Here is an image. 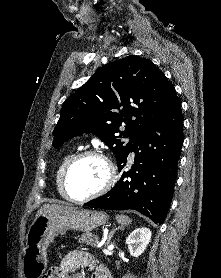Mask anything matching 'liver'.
Here are the masks:
<instances>
[{
  "label": "liver",
  "mask_w": 221,
  "mask_h": 278,
  "mask_svg": "<svg viewBox=\"0 0 221 278\" xmlns=\"http://www.w3.org/2000/svg\"><path fill=\"white\" fill-rule=\"evenodd\" d=\"M73 208L64 206V205H57V204H44L37 212V215L43 213H65Z\"/></svg>",
  "instance_id": "liver-1"
}]
</instances>
